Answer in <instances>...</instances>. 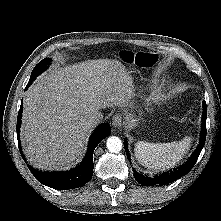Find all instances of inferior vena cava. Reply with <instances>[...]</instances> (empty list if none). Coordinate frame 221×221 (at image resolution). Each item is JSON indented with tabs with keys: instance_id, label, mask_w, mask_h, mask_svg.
Returning <instances> with one entry per match:
<instances>
[{
	"instance_id": "602c4592",
	"label": "inferior vena cava",
	"mask_w": 221,
	"mask_h": 221,
	"mask_svg": "<svg viewBox=\"0 0 221 221\" xmlns=\"http://www.w3.org/2000/svg\"><path fill=\"white\" fill-rule=\"evenodd\" d=\"M103 119V114L101 112H95L88 120V124L94 127Z\"/></svg>"
}]
</instances>
